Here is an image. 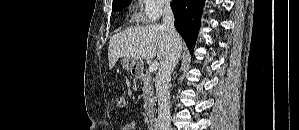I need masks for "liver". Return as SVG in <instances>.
<instances>
[{
  "instance_id": "6515ba94",
  "label": "liver",
  "mask_w": 299,
  "mask_h": 130,
  "mask_svg": "<svg viewBox=\"0 0 299 130\" xmlns=\"http://www.w3.org/2000/svg\"><path fill=\"white\" fill-rule=\"evenodd\" d=\"M169 37L160 24L130 27L109 41L108 61L112 69L121 57L164 60L169 52Z\"/></svg>"
}]
</instances>
